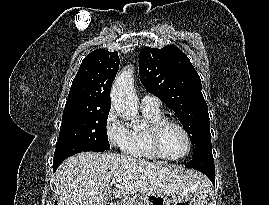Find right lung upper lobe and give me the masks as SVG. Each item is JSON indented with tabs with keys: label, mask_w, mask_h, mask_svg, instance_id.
Wrapping results in <instances>:
<instances>
[{
	"label": "right lung upper lobe",
	"mask_w": 269,
	"mask_h": 205,
	"mask_svg": "<svg viewBox=\"0 0 269 205\" xmlns=\"http://www.w3.org/2000/svg\"><path fill=\"white\" fill-rule=\"evenodd\" d=\"M119 68L118 52L96 49L82 61L65 107L110 108V90Z\"/></svg>",
	"instance_id": "right-lung-upper-lobe-1"
}]
</instances>
